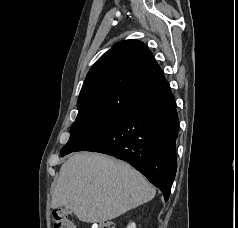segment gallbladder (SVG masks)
I'll return each instance as SVG.
<instances>
[{
    "label": "gallbladder",
    "mask_w": 238,
    "mask_h": 228,
    "mask_svg": "<svg viewBox=\"0 0 238 228\" xmlns=\"http://www.w3.org/2000/svg\"><path fill=\"white\" fill-rule=\"evenodd\" d=\"M66 212H68V213H71V212H72V210H71V209H69V208H66Z\"/></svg>",
    "instance_id": "bac80fb5"
}]
</instances>
